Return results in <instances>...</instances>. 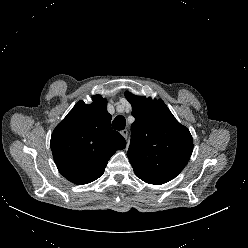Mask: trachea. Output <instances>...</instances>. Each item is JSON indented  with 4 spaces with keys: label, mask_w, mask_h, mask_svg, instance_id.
I'll return each instance as SVG.
<instances>
[{
    "label": "trachea",
    "mask_w": 248,
    "mask_h": 248,
    "mask_svg": "<svg viewBox=\"0 0 248 248\" xmlns=\"http://www.w3.org/2000/svg\"><path fill=\"white\" fill-rule=\"evenodd\" d=\"M126 126V120L123 116H117L112 122V128L115 130H123Z\"/></svg>",
    "instance_id": "3493384b"
}]
</instances>
